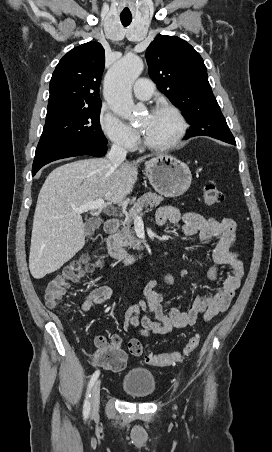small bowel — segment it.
Segmentation results:
<instances>
[{"instance_id":"1","label":"small bowel","mask_w":272,"mask_h":452,"mask_svg":"<svg viewBox=\"0 0 272 452\" xmlns=\"http://www.w3.org/2000/svg\"><path fill=\"white\" fill-rule=\"evenodd\" d=\"M156 221L160 226L167 222L173 224L188 238H198L205 244L215 243L212 254L214 265L208 270L211 281L218 279L220 267L228 266L230 271L220 287H215L210 295L196 296L187 310L164 309V294L158 289L160 281H149L144 286L140 299L124 312L122 323L124 330L135 331L141 337L163 335L173 329L193 326L198 317L211 320L228 309L244 276L243 262L233 250L236 240V222L233 219L206 218L196 212L181 214L173 206H162L156 212ZM162 280L168 284L173 283L171 275H165ZM112 296L113 290L108 286L95 288L83 298L81 310L88 312L95 305L110 300ZM103 339L105 338L102 336L98 337L96 343ZM133 340L139 341L137 338L130 339Z\"/></svg>"}]
</instances>
